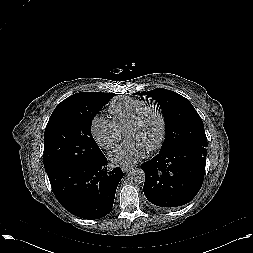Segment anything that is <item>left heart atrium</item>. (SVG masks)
I'll list each match as a JSON object with an SVG mask.
<instances>
[{
    "label": "left heart atrium",
    "mask_w": 253,
    "mask_h": 253,
    "mask_svg": "<svg viewBox=\"0 0 253 253\" xmlns=\"http://www.w3.org/2000/svg\"><path fill=\"white\" fill-rule=\"evenodd\" d=\"M147 151L142 143L130 139L116 147L111 152L110 159L116 165L130 166L142 159Z\"/></svg>",
    "instance_id": "obj_1"
}]
</instances>
